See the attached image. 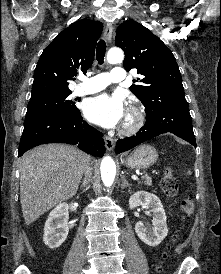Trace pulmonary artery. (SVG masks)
Returning <instances> with one entry per match:
<instances>
[{
	"label": "pulmonary artery",
	"instance_id": "obj_1",
	"mask_svg": "<svg viewBox=\"0 0 221 274\" xmlns=\"http://www.w3.org/2000/svg\"><path fill=\"white\" fill-rule=\"evenodd\" d=\"M125 79V71L120 67L113 68L110 73H99L90 78H84L74 91L76 95H86L98 92L111 83H118Z\"/></svg>",
	"mask_w": 221,
	"mask_h": 274
}]
</instances>
